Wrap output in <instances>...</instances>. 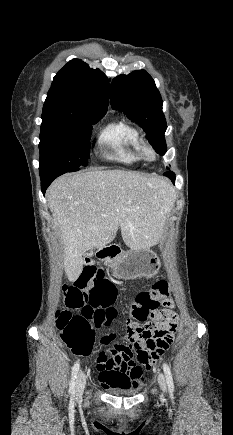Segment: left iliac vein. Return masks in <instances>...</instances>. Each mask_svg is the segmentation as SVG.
Listing matches in <instances>:
<instances>
[{
    "instance_id": "4c4485c4",
    "label": "left iliac vein",
    "mask_w": 233,
    "mask_h": 435,
    "mask_svg": "<svg viewBox=\"0 0 233 435\" xmlns=\"http://www.w3.org/2000/svg\"><path fill=\"white\" fill-rule=\"evenodd\" d=\"M158 382H159L161 390L163 392H165L167 386H166V380H165V377H164L163 373H159L158 374Z\"/></svg>"
}]
</instances>
